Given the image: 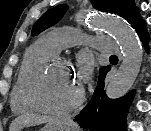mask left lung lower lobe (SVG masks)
Segmentation results:
<instances>
[{
  "label": "left lung lower lobe",
  "mask_w": 151,
  "mask_h": 131,
  "mask_svg": "<svg viewBox=\"0 0 151 131\" xmlns=\"http://www.w3.org/2000/svg\"><path fill=\"white\" fill-rule=\"evenodd\" d=\"M147 48L149 36L145 22L138 13L130 23ZM110 66L100 71L98 85L90 102L82 109L75 119L81 128L89 131H126V114L134 96L131 91L119 99H109L104 90V80Z\"/></svg>",
  "instance_id": "0a47b994"
}]
</instances>
